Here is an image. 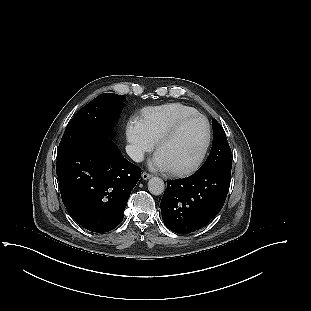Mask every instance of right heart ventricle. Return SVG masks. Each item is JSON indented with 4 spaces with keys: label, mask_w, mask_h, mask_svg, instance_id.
I'll return each instance as SVG.
<instances>
[{
    "label": "right heart ventricle",
    "mask_w": 311,
    "mask_h": 311,
    "mask_svg": "<svg viewBox=\"0 0 311 311\" xmlns=\"http://www.w3.org/2000/svg\"><path fill=\"white\" fill-rule=\"evenodd\" d=\"M196 112L195 108L188 105L168 103L144 109L141 115V123L150 139L157 142L159 137L178 119Z\"/></svg>",
    "instance_id": "1"
}]
</instances>
